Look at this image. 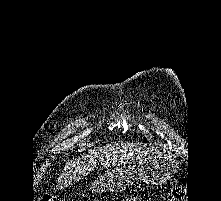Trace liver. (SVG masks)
<instances>
[{"label":"liver","instance_id":"1","mask_svg":"<svg viewBox=\"0 0 221 201\" xmlns=\"http://www.w3.org/2000/svg\"><path fill=\"white\" fill-rule=\"evenodd\" d=\"M153 153L154 148L151 146H138L123 141L107 144L93 150L90 149L66 165L58 180L57 187L63 189L82 179L94 170L97 162L109 168L134 162Z\"/></svg>","mask_w":221,"mask_h":201}]
</instances>
